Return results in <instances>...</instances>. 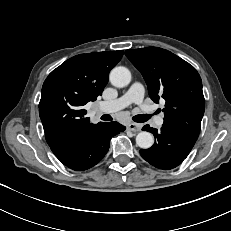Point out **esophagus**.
Segmentation results:
<instances>
[{"label": "esophagus", "mask_w": 231, "mask_h": 231, "mask_svg": "<svg viewBox=\"0 0 231 231\" xmlns=\"http://www.w3.org/2000/svg\"><path fill=\"white\" fill-rule=\"evenodd\" d=\"M127 129L133 132H138L141 130V126L136 123H130L128 124Z\"/></svg>", "instance_id": "1"}]
</instances>
